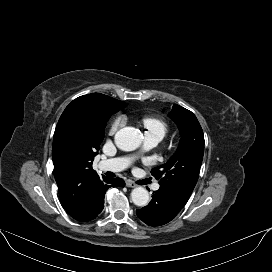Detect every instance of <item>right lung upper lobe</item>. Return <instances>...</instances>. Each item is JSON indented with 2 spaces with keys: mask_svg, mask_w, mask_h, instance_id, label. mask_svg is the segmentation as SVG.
<instances>
[{
  "mask_svg": "<svg viewBox=\"0 0 272 272\" xmlns=\"http://www.w3.org/2000/svg\"><path fill=\"white\" fill-rule=\"evenodd\" d=\"M126 106L109 96L92 93L73 100L62 113L54 133L52 159L59 196L67 212L77 219L97 198L102 178L92 168L98 147L88 139L103 108Z\"/></svg>",
  "mask_w": 272,
  "mask_h": 272,
  "instance_id": "cb5924a9",
  "label": "right lung upper lobe"
}]
</instances>
